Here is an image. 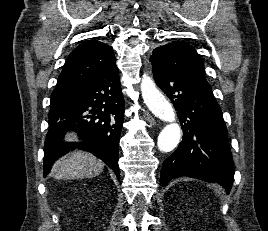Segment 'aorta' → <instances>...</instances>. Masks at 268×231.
<instances>
[{"mask_svg":"<svg viewBox=\"0 0 268 231\" xmlns=\"http://www.w3.org/2000/svg\"><path fill=\"white\" fill-rule=\"evenodd\" d=\"M141 92L148 109L157 118L169 123L161 130L158 136L157 145L159 150L162 152L172 151L178 145L181 138V128L176 122V115L172 105L156 88L153 80L146 74L142 78Z\"/></svg>","mask_w":268,"mask_h":231,"instance_id":"1","label":"aorta"}]
</instances>
